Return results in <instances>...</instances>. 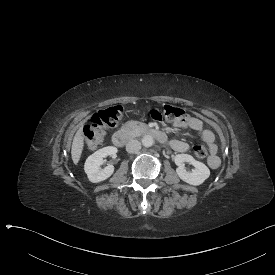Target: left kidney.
<instances>
[{
	"label": "left kidney",
	"mask_w": 275,
	"mask_h": 275,
	"mask_svg": "<svg viewBox=\"0 0 275 275\" xmlns=\"http://www.w3.org/2000/svg\"><path fill=\"white\" fill-rule=\"evenodd\" d=\"M174 161L179 166L176 169L178 177L187 184L200 186L210 176L209 168L188 154H178L174 157ZM184 162L194 166V169L190 173H187L184 169Z\"/></svg>",
	"instance_id": "obj_1"
}]
</instances>
